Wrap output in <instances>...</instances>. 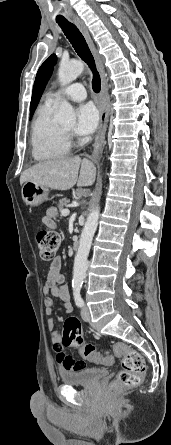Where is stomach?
<instances>
[{"label":"stomach","instance_id":"stomach-1","mask_svg":"<svg viewBox=\"0 0 171 445\" xmlns=\"http://www.w3.org/2000/svg\"><path fill=\"white\" fill-rule=\"evenodd\" d=\"M22 199L26 205L33 207L48 200L49 189L34 182H25L21 189Z\"/></svg>","mask_w":171,"mask_h":445}]
</instances>
